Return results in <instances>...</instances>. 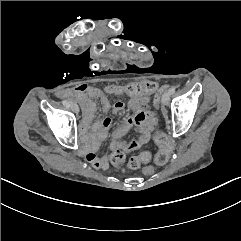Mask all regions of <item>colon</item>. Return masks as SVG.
Segmentation results:
<instances>
[{
  "instance_id": "obj_1",
  "label": "colon",
  "mask_w": 241,
  "mask_h": 241,
  "mask_svg": "<svg viewBox=\"0 0 241 241\" xmlns=\"http://www.w3.org/2000/svg\"><path fill=\"white\" fill-rule=\"evenodd\" d=\"M157 88V84L155 82H142L134 81L131 85L126 87V92L133 98H140L142 95H149L153 88ZM168 88L167 84L160 86L157 88V91L154 93V106H159V100L161 97V93L166 91ZM156 142L160 145L159 155L155 156L154 162L159 166L164 164L166 160L169 158V141L168 136L166 134H161L157 132L154 136ZM110 160L114 165L123 166L125 164V155L123 153H111ZM151 159V154L147 151L142 152L137 157H134L129 160L128 166L131 168H137L143 163L149 162ZM154 167L151 164L146 165L143 174L148 176L151 172H153Z\"/></svg>"
}]
</instances>
